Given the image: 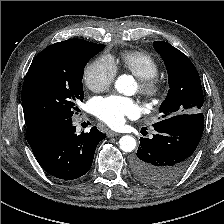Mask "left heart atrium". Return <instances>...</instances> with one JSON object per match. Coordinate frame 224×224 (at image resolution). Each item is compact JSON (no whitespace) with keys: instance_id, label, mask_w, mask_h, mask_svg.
<instances>
[{"instance_id":"1","label":"left heart atrium","mask_w":224,"mask_h":224,"mask_svg":"<svg viewBox=\"0 0 224 224\" xmlns=\"http://www.w3.org/2000/svg\"><path fill=\"white\" fill-rule=\"evenodd\" d=\"M94 113L110 127L117 128L126 118L136 116L139 113V106L133 99L109 96L95 102Z\"/></svg>"}]
</instances>
